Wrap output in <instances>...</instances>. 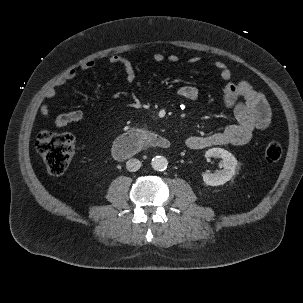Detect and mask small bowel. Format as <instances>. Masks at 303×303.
Wrapping results in <instances>:
<instances>
[{
    "label": "small bowel",
    "instance_id": "c3829d8e",
    "mask_svg": "<svg viewBox=\"0 0 303 303\" xmlns=\"http://www.w3.org/2000/svg\"><path fill=\"white\" fill-rule=\"evenodd\" d=\"M155 63L169 62L176 64L179 58L174 55H165L155 53L152 57ZM200 60L195 56L188 60L189 64H196ZM109 62L119 65L123 68L126 81L133 84L136 81V72L133 63L126 57L113 55ZM213 66L218 70L220 77L225 81L223 89V102L226 106L233 108L235 122L226 126L223 130L200 136H190L185 140V145L192 150H200L213 146L221 145H243L249 142L256 131L265 130L271 123V113L265 96L253 89L247 81H232V72L222 61H215ZM95 67L93 60H88L81 65L83 71L91 70ZM77 71L71 69L59 78L54 87L46 92L47 98H54L56 95L55 87H61L67 82L75 79ZM178 95L190 101L197 100L200 95L199 89L191 84L182 85L178 89ZM40 113L43 117L50 115L47 105L40 107ZM84 114L80 110L66 112L57 116L54 123L57 127H63L68 124L81 121Z\"/></svg>",
    "mask_w": 303,
    "mask_h": 303
}]
</instances>
